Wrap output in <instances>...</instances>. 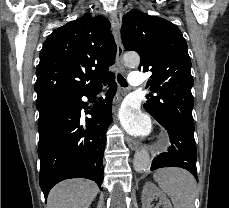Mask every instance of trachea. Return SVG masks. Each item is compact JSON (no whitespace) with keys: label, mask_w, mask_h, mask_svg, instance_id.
<instances>
[{"label":"trachea","mask_w":229,"mask_h":208,"mask_svg":"<svg viewBox=\"0 0 229 208\" xmlns=\"http://www.w3.org/2000/svg\"><path fill=\"white\" fill-rule=\"evenodd\" d=\"M117 80H118V83L122 86V87H127L128 86V83H127V80L120 74L117 75Z\"/></svg>","instance_id":"3493384b"}]
</instances>
